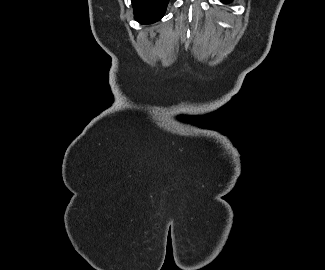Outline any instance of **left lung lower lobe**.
I'll list each match as a JSON object with an SVG mask.
<instances>
[{
	"mask_svg": "<svg viewBox=\"0 0 325 270\" xmlns=\"http://www.w3.org/2000/svg\"><path fill=\"white\" fill-rule=\"evenodd\" d=\"M222 1L225 2V3H228V2H230L232 0H222Z\"/></svg>",
	"mask_w": 325,
	"mask_h": 270,
	"instance_id": "0a47b994",
	"label": "left lung lower lobe"
}]
</instances>
